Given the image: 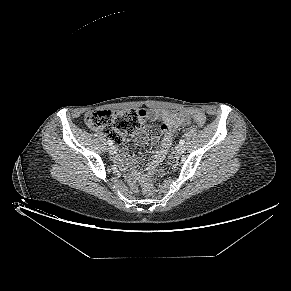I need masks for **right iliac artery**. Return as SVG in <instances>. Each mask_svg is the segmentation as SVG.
<instances>
[{"instance_id":"obj_1","label":"right iliac artery","mask_w":291,"mask_h":291,"mask_svg":"<svg viewBox=\"0 0 291 291\" xmlns=\"http://www.w3.org/2000/svg\"><path fill=\"white\" fill-rule=\"evenodd\" d=\"M107 143H108V145H110V146L113 144L111 140H108Z\"/></svg>"}]
</instances>
